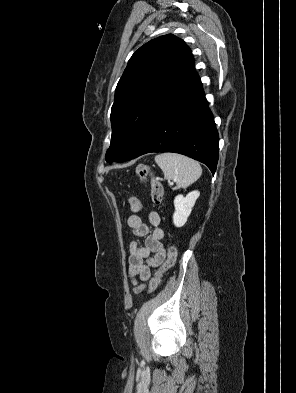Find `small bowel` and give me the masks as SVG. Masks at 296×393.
<instances>
[{"mask_svg": "<svg viewBox=\"0 0 296 393\" xmlns=\"http://www.w3.org/2000/svg\"><path fill=\"white\" fill-rule=\"evenodd\" d=\"M148 219L153 227L151 232L140 216L132 214L127 218V224L133 234L145 238L143 244L132 241L129 246L128 274L135 283L136 279L142 282L149 280L151 270L158 267L166 256L162 243L164 231L160 226V215L156 211H151L148 214ZM142 289L143 285H136L133 291L139 293Z\"/></svg>", "mask_w": 296, "mask_h": 393, "instance_id": "c3829d8e", "label": "small bowel"}]
</instances>
